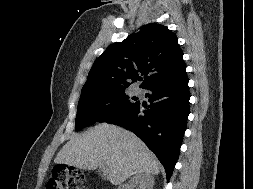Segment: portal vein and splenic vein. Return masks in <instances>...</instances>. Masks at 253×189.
Returning a JSON list of instances; mask_svg holds the SVG:
<instances>
[{"label":"portal vein and splenic vein","mask_w":253,"mask_h":189,"mask_svg":"<svg viewBox=\"0 0 253 189\" xmlns=\"http://www.w3.org/2000/svg\"><path fill=\"white\" fill-rule=\"evenodd\" d=\"M101 166H102V170H103L104 172H106V166H105L104 164H101Z\"/></svg>","instance_id":"1"}]
</instances>
